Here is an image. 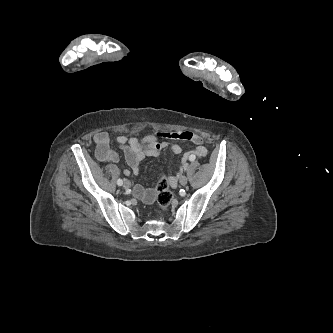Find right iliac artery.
<instances>
[{"label": "right iliac artery", "instance_id": "1", "mask_svg": "<svg viewBox=\"0 0 333 333\" xmlns=\"http://www.w3.org/2000/svg\"><path fill=\"white\" fill-rule=\"evenodd\" d=\"M117 184H118L119 186H121V185L123 184L122 179H118V180H117Z\"/></svg>", "mask_w": 333, "mask_h": 333}]
</instances>
